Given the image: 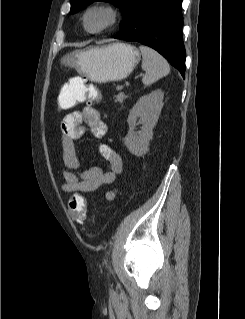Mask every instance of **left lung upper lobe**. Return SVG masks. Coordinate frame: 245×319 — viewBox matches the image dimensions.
I'll list each match as a JSON object with an SVG mask.
<instances>
[{"label":"left lung upper lobe","mask_w":245,"mask_h":319,"mask_svg":"<svg viewBox=\"0 0 245 319\" xmlns=\"http://www.w3.org/2000/svg\"><path fill=\"white\" fill-rule=\"evenodd\" d=\"M94 1H105V2H111L117 7L120 8L122 15H123V21L120 25V30L125 26L128 19L130 18L132 11L137 4L139 0H70L71 3V10L70 13L74 14L79 9L83 8L84 6L94 2Z\"/></svg>","instance_id":"5c2ea615"}]
</instances>
